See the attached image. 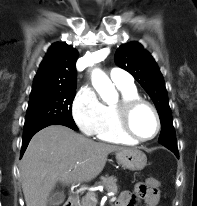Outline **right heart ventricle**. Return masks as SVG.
I'll return each instance as SVG.
<instances>
[{
  "label": "right heart ventricle",
  "instance_id": "e07e8e85",
  "mask_svg": "<svg viewBox=\"0 0 197 206\" xmlns=\"http://www.w3.org/2000/svg\"><path fill=\"white\" fill-rule=\"evenodd\" d=\"M123 97H139L135 85L125 86L116 84ZM98 139L111 143H133L131 139L126 137L117 125L116 115L113 105H103V115L101 122L95 133Z\"/></svg>",
  "mask_w": 197,
  "mask_h": 206
}]
</instances>
